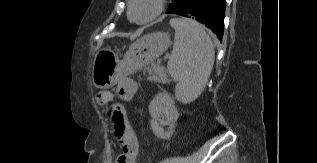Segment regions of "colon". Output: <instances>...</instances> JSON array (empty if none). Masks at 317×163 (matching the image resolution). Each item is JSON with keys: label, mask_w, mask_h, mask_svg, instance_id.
I'll list each match as a JSON object with an SVG mask.
<instances>
[{"label": "colon", "mask_w": 317, "mask_h": 163, "mask_svg": "<svg viewBox=\"0 0 317 163\" xmlns=\"http://www.w3.org/2000/svg\"><path fill=\"white\" fill-rule=\"evenodd\" d=\"M111 93L109 91H100L96 94V101L99 105H107L111 102ZM109 116L113 129L117 133L124 132L126 128V114L121 104L113 103L110 105Z\"/></svg>", "instance_id": "5ec220e1"}]
</instances>
